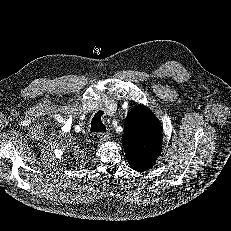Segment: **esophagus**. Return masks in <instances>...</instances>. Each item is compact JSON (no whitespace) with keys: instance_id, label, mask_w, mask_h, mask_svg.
<instances>
[{"instance_id":"esophagus-1","label":"esophagus","mask_w":231,"mask_h":231,"mask_svg":"<svg viewBox=\"0 0 231 231\" xmlns=\"http://www.w3.org/2000/svg\"><path fill=\"white\" fill-rule=\"evenodd\" d=\"M97 137L99 138V140L101 141H106L110 138V133L109 132H100L97 134Z\"/></svg>"}]
</instances>
